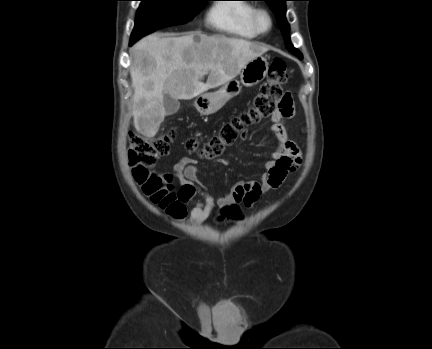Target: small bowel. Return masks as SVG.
Segmentation results:
<instances>
[{
  "label": "small bowel",
  "mask_w": 432,
  "mask_h": 349,
  "mask_svg": "<svg viewBox=\"0 0 432 349\" xmlns=\"http://www.w3.org/2000/svg\"><path fill=\"white\" fill-rule=\"evenodd\" d=\"M293 115V108L289 113L276 112L271 116V132L278 145L265 163V172L259 181H241L235 184L229 194L215 198L205 191L198 176L197 161L185 156L176 162L173 175L180 184L178 197L182 204L194 201L189 213V221L200 224L204 222L215 205L223 207L243 203L246 206L254 204L262 194L281 186L286 176L294 172L302 162V155L298 145L289 136L286 119ZM245 138V134L242 135ZM221 162V161H220ZM200 197V199H196Z\"/></svg>",
  "instance_id": "c3829d8e"
}]
</instances>
